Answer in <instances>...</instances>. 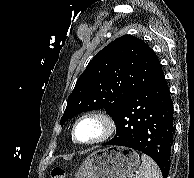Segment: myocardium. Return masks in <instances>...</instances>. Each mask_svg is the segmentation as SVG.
Returning a JSON list of instances; mask_svg holds the SVG:
<instances>
[{
  "mask_svg": "<svg viewBox=\"0 0 194 178\" xmlns=\"http://www.w3.org/2000/svg\"><path fill=\"white\" fill-rule=\"evenodd\" d=\"M89 118L96 119L101 123L102 132L96 139L89 142H82L76 136V129L79 123ZM115 131H116L115 121L108 113L101 110H90L83 113L75 120L72 126L71 136H72V140L76 144L83 145V146H93V145L102 144L108 141L114 135Z\"/></svg>",
  "mask_w": 194,
  "mask_h": 178,
  "instance_id": "f54148a6",
  "label": "myocardium"
}]
</instances>
